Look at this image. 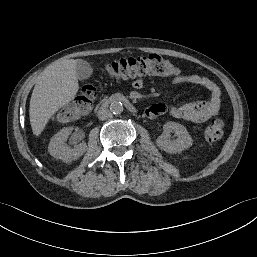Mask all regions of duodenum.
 <instances>
[{"label": "duodenum", "mask_w": 257, "mask_h": 257, "mask_svg": "<svg viewBox=\"0 0 257 257\" xmlns=\"http://www.w3.org/2000/svg\"><path fill=\"white\" fill-rule=\"evenodd\" d=\"M113 102L123 103L130 111L136 112V108L129 98L124 95L116 94L104 99L100 105V108H105Z\"/></svg>", "instance_id": "410a0bca"}]
</instances>
